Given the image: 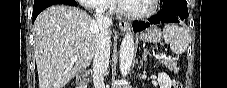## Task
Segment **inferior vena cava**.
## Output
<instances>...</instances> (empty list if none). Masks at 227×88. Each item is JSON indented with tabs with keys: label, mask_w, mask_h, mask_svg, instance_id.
<instances>
[{
	"label": "inferior vena cava",
	"mask_w": 227,
	"mask_h": 88,
	"mask_svg": "<svg viewBox=\"0 0 227 88\" xmlns=\"http://www.w3.org/2000/svg\"><path fill=\"white\" fill-rule=\"evenodd\" d=\"M95 53L93 59V77L95 88H105L103 75L106 73L110 59L111 17L102 12L95 14Z\"/></svg>",
	"instance_id": "1"
}]
</instances>
